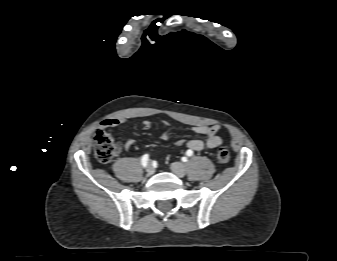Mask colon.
Returning <instances> with one entry per match:
<instances>
[{
    "label": "colon",
    "instance_id": "5ec220e1",
    "mask_svg": "<svg viewBox=\"0 0 337 261\" xmlns=\"http://www.w3.org/2000/svg\"><path fill=\"white\" fill-rule=\"evenodd\" d=\"M117 152V146L110 134L103 130H98L94 137V154L100 163L110 162ZM216 160L219 164H226L230 160V153L227 148L221 147L216 153Z\"/></svg>",
    "mask_w": 337,
    "mask_h": 261
}]
</instances>
